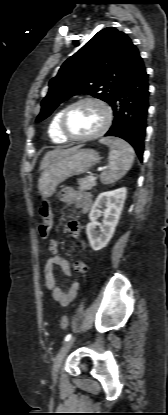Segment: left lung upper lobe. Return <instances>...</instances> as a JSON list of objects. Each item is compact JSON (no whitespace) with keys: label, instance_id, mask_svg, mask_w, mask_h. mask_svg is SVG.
<instances>
[{"label":"left lung upper lobe","instance_id":"left-lung-upper-lobe-1","mask_svg":"<svg viewBox=\"0 0 168 415\" xmlns=\"http://www.w3.org/2000/svg\"><path fill=\"white\" fill-rule=\"evenodd\" d=\"M139 56L125 33L113 27L99 31L51 79L36 121L44 120L59 104L78 94H89L110 104Z\"/></svg>","mask_w":168,"mask_h":415}]
</instances>
